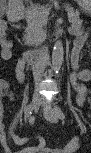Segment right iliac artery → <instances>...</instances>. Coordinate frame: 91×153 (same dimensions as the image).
I'll return each mask as SVG.
<instances>
[{
  "label": "right iliac artery",
  "mask_w": 91,
  "mask_h": 153,
  "mask_svg": "<svg viewBox=\"0 0 91 153\" xmlns=\"http://www.w3.org/2000/svg\"><path fill=\"white\" fill-rule=\"evenodd\" d=\"M31 114V111H30V105H28L26 108H25V116Z\"/></svg>",
  "instance_id": "obj_1"
}]
</instances>
